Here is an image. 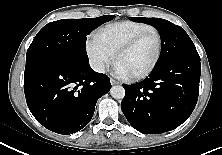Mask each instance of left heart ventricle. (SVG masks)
I'll use <instances>...</instances> for the list:
<instances>
[{
	"label": "left heart ventricle",
	"mask_w": 222,
	"mask_h": 155,
	"mask_svg": "<svg viewBox=\"0 0 222 155\" xmlns=\"http://www.w3.org/2000/svg\"><path fill=\"white\" fill-rule=\"evenodd\" d=\"M158 50V39L155 34L143 38L134 48L123 53L118 58L129 72L135 75L146 70L154 61Z\"/></svg>",
	"instance_id": "b2bd125f"
}]
</instances>
